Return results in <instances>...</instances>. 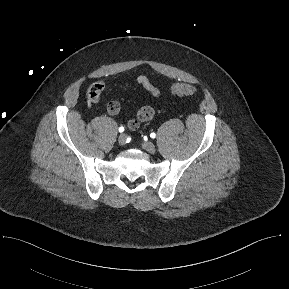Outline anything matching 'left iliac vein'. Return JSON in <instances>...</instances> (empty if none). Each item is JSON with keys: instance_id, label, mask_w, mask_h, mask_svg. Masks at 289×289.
Returning <instances> with one entry per match:
<instances>
[{"instance_id": "obj_1", "label": "left iliac vein", "mask_w": 289, "mask_h": 289, "mask_svg": "<svg viewBox=\"0 0 289 289\" xmlns=\"http://www.w3.org/2000/svg\"><path fill=\"white\" fill-rule=\"evenodd\" d=\"M142 147L144 150H146L147 152L153 154L156 151V147L152 142H144L142 144Z\"/></svg>"}]
</instances>
